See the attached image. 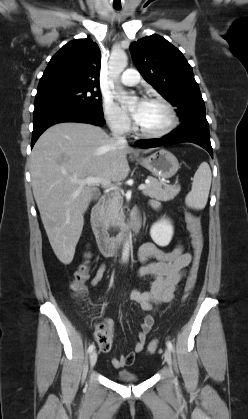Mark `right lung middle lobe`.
I'll list each match as a JSON object with an SVG mask.
<instances>
[{"label": "right lung middle lobe", "instance_id": "obj_1", "mask_svg": "<svg viewBox=\"0 0 248 419\" xmlns=\"http://www.w3.org/2000/svg\"><path fill=\"white\" fill-rule=\"evenodd\" d=\"M76 104L103 115L102 98L94 88L60 87L37 91L35 108L51 104Z\"/></svg>", "mask_w": 248, "mask_h": 419}]
</instances>
